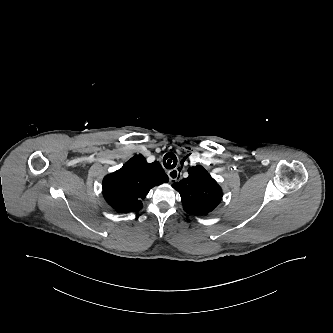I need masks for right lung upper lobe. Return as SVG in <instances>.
Returning a JSON list of instances; mask_svg holds the SVG:
<instances>
[{
	"label": "right lung upper lobe",
	"mask_w": 333,
	"mask_h": 333,
	"mask_svg": "<svg viewBox=\"0 0 333 333\" xmlns=\"http://www.w3.org/2000/svg\"><path fill=\"white\" fill-rule=\"evenodd\" d=\"M168 181L160 163H147L141 155H135L122 168L104 177L103 196L118 212H136L143 205L149 190Z\"/></svg>",
	"instance_id": "right-lung-upper-lobe-1"
}]
</instances>
